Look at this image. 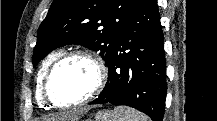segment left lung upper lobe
Listing matches in <instances>:
<instances>
[{
	"label": "left lung upper lobe",
	"instance_id": "left-lung-upper-lobe-1",
	"mask_svg": "<svg viewBox=\"0 0 217 121\" xmlns=\"http://www.w3.org/2000/svg\"><path fill=\"white\" fill-rule=\"evenodd\" d=\"M138 0H54L41 23L32 62L35 67L52 50L83 45L108 62Z\"/></svg>",
	"mask_w": 217,
	"mask_h": 121
}]
</instances>
